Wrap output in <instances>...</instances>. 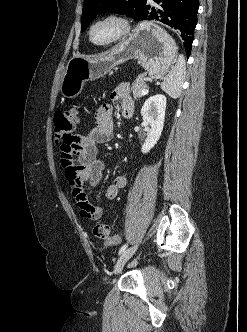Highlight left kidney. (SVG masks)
Wrapping results in <instances>:
<instances>
[{
	"mask_svg": "<svg viewBox=\"0 0 247 332\" xmlns=\"http://www.w3.org/2000/svg\"><path fill=\"white\" fill-rule=\"evenodd\" d=\"M166 97L157 94L148 98L141 109L143 120L150 126L144 144L142 145V153H148L158 142L165 119Z\"/></svg>",
	"mask_w": 247,
	"mask_h": 332,
	"instance_id": "obj_1",
	"label": "left kidney"
}]
</instances>
